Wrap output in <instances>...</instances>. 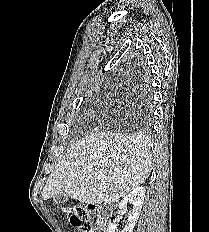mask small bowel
Instances as JSON below:
<instances>
[{"label": "small bowel", "mask_w": 209, "mask_h": 232, "mask_svg": "<svg viewBox=\"0 0 209 232\" xmlns=\"http://www.w3.org/2000/svg\"><path fill=\"white\" fill-rule=\"evenodd\" d=\"M96 232H100V229H97Z\"/></svg>", "instance_id": "1"}]
</instances>
